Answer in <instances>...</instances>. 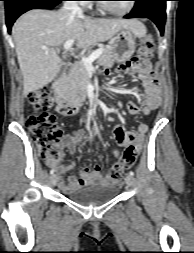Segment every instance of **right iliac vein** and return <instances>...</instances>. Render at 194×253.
Listing matches in <instances>:
<instances>
[{"instance_id": "1", "label": "right iliac vein", "mask_w": 194, "mask_h": 253, "mask_svg": "<svg viewBox=\"0 0 194 253\" xmlns=\"http://www.w3.org/2000/svg\"><path fill=\"white\" fill-rule=\"evenodd\" d=\"M50 182H51V184L53 185V186H55L56 185V183H57V176L56 175H51V177H50Z\"/></svg>"}]
</instances>
